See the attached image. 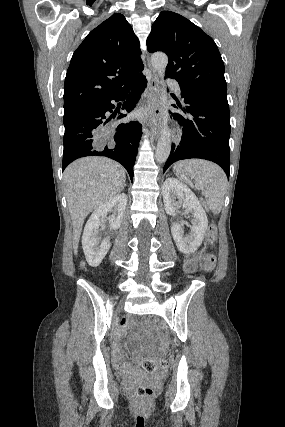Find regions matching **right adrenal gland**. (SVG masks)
I'll list each match as a JSON object with an SVG mask.
<instances>
[{"instance_id": "1", "label": "right adrenal gland", "mask_w": 285, "mask_h": 427, "mask_svg": "<svg viewBox=\"0 0 285 427\" xmlns=\"http://www.w3.org/2000/svg\"><path fill=\"white\" fill-rule=\"evenodd\" d=\"M125 186H126V184L124 183L120 191H122V190L124 189V187H125Z\"/></svg>"}]
</instances>
